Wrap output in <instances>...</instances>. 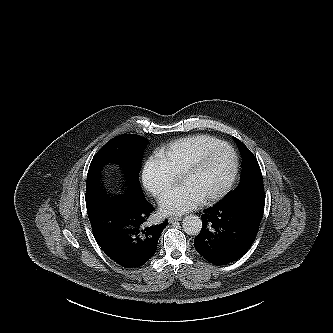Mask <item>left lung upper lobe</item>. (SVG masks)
<instances>
[{
    "label": "left lung upper lobe",
    "mask_w": 333,
    "mask_h": 333,
    "mask_svg": "<svg viewBox=\"0 0 333 333\" xmlns=\"http://www.w3.org/2000/svg\"><path fill=\"white\" fill-rule=\"evenodd\" d=\"M237 145L240 147L243 156L242 172L240 182L233 192L248 188L254 185L263 184V178L259 164L252 152L237 138L233 137Z\"/></svg>",
    "instance_id": "obj_1"
}]
</instances>
